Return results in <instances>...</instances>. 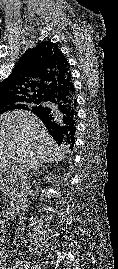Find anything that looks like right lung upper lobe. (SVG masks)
<instances>
[{
    "instance_id": "cb5924a9",
    "label": "right lung upper lobe",
    "mask_w": 118,
    "mask_h": 269,
    "mask_svg": "<svg viewBox=\"0 0 118 269\" xmlns=\"http://www.w3.org/2000/svg\"><path fill=\"white\" fill-rule=\"evenodd\" d=\"M72 84L69 63L58 46L49 41L28 49L20 58L10 76L0 83V103L31 99L27 108L44 123L52 137L62 123L68 127L71 113V97L64 100L57 96ZM54 101L55 111L44 107Z\"/></svg>"
}]
</instances>
